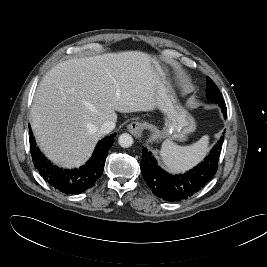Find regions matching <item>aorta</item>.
Segmentation results:
<instances>
[{"label":"aorta","instance_id":"762f6f07","mask_svg":"<svg viewBox=\"0 0 267 267\" xmlns=\"http://www.w3.org/2000/svg\"><path fill=\"white\" fill-rule=\"evenodd\" d=\"M119 145L123 148H129L133 145V137L128 133H123L118 138Z\"/></svg>","mask_w":267,"mask_h":267}]
</instances>
